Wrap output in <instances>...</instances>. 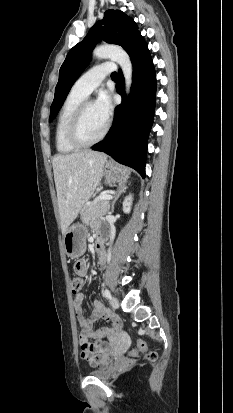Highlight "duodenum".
I'll use <instances>...</instances> for the list:
<instances>
[{
  "label": "duodenum",
  "instance_id": "duodenum-1",
  "mask_svg": "<svg viewBox=\"0 0 233 413\" xmlns=\"http://www.w3.org/2000/svg\"><path fill=\"white\" fill-rule=\"evenodd\" d=\"M105 240V237L103 234H99L97 238V253H98V266L103 267L105 265V254L103 252V242Z\"/></svg>",
  "mask_w": 233,
  "mask_h": 413
}]
</instances>
